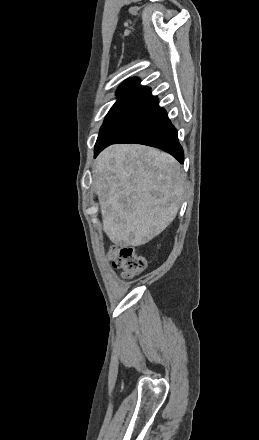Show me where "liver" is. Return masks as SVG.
I'll use <instances>...</instances> for the list:
<instances>
[{
    "instance_id": "6515ba94",
    "label": "liver",
    "mask_w": 259,
    "mask_h": 440,
    "mask_svg": "<svg viewBox=\"0 0 259 440\" xmlns=\"http://www.w3.org/2000/svg\"><path fill=\"white\" fill-rule=\"evenodd\" d=\"M93 177L103 230L117 246H141L175 219L184 174L168 153L144 145L117 144L97 158Z\"/></svg>"
}]
</instances>
